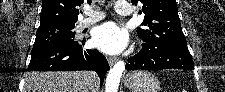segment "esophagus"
Here are the masks:
<instances>
[{
  "instance_id": "obj_1",
  "label": "esophagus",
  "mask_w": 225,
  "mask_h": 92,
  "mask_svg": "<svg viewBox=\"0 0 225 92\" xmlns=\"http://www.w3.org/2000/svg\"><path fill=\"white\" fill-rule=\"evenodd\" d=\"M117 61L116 57H108V63L112 67Z\"/></svg>"
}]
</instances>
